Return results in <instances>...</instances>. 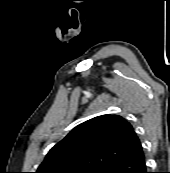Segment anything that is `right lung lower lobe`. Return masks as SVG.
<instances>
[{
    "instance_id": "obj_1",
    "label": "right lung lower lobe",
    "mask_w": 170,
    "mask_h": 173,
    "mask_svg": "<svg viewBox=\"0 0 170 173\" xmlns=\"http://www.w3.org/2000/svg\"><path fill=\"white\" fill-rule=\"evenodd\" d=\"M102 173H148L143 149L111 165Z\"/></svg>"
}]
</instances>
